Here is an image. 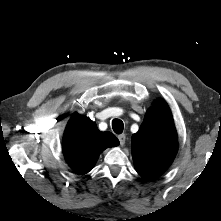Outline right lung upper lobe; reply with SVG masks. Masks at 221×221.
Instances as JSON below:
<instances>
[{
  "instance_id": "right-lung-upper-lobe-1",
  "label": "right lung upper lobe",
  "mask_w": 221,
  "mask_h": 221,
  "mask_svg": "<svg viewBox=\"0 0 221 221\" xmlns=\"http://www.w3.org/2000/svg\"><path fill=\"white\" fill-rule=\"evenodd\" d=\"M118 144L111 132L99 131L90 118L74 113L64 132L63 153L76 173L85 174L94 167L103 150Z\"/></svg>"
}]
</instances>
